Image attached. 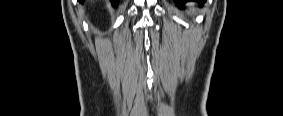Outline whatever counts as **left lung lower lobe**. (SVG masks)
<instances>
[{"label": "left lung lower lobe", "instance_id": "left-lung-lower-lobe-1", "mask_svg": "<svg viewBox=\"0 0 283 116\" xmlns=\"http://www.w3.org/2000/svg\"><path fill=\"white\" fill-rule=\"evenodd\" d=\"M174 1H175L176 5H177L178 7H182L183 4H184L185 2H187V1H189V0H174ZM196 1H198V2H204L205 0H196Z\"/></svg>", "mask_w": 283, "mask_h": 116}]
</instances>
